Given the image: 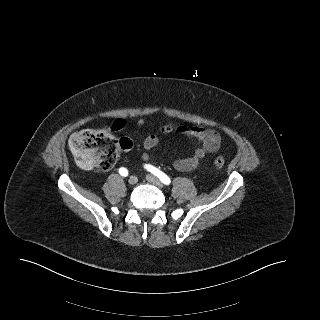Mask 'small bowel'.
Returning <instances> with one entry per match:
<instances>
[{
	"label": "small bowel",
	"mask_w": 320,
	"mask_h": 320,
	"mask_svg": "<svg viewBox=\"0 0 320 320\" xmlns=\"http://www.w3.org/2000/svg\"><path fill=\"white\" fill-rule=\"evenodd\" d=\"M117 130L123 127V121H117ZM137 126L142 127L145 124L144 119L137 121ZM173 131H178L190 138L196 139L200 142V146L195 150L193 155L177 159L174 162V168L181 172H189L197 170L202 162L211 154L216 153L221 145V137L219 133L213 129L180 124H165L161 127L163 134H169ZM159 138L155 134L146 136L143 140V148L145 152L142 155L143 161H148L150 158V152L158 145Z\"/></svg>",
	"instance_id": "obj_1"
}]
</instances>
